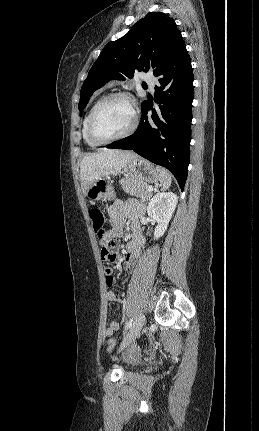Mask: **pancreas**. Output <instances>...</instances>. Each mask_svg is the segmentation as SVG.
Returning a JSON list of instances; mask_svg holds the SVG:
<instances>
[{
  "label": "pancreas",
  "mask_w": 259,
  "mask_h": 431,
  "mask_svg": "<svg viewBox=\"0 0 259 431\" xmlns=\"http://www.w3.org/2000/svg\"><path fill=\"white\" fill-rule=\"evenodd\" d=\"M119 183L126 193L139 197L142 200H148L152 196V193L148 191L149 185L138 178H123Z\"/></svg>",
  "instance_id": "cf45deb5"
}]
</instances>
